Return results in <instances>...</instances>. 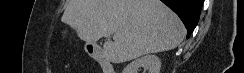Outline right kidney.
I'll return each instance as SVG.
<instances>
[{
    "instance_id": "1",
    "label": "right kidney",
    "mask_w": 244,
    "mask_h": 73,
    "mask_svg": "<svg viewBox=\"0 0 244 73\" xmlns=\"http://www.w3.org/2000/svg\"><path fill=\"white\" fill-rule=\"evenodd\" d=\"M140 67L149 70V73H159L161 61L156 55H146L129 63L122 73H138Z\"/></svg>"
}]
</instances>
